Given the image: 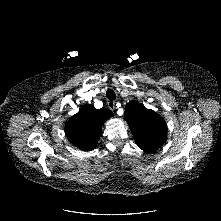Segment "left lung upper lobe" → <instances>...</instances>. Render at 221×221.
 <instances>
[{
  "mask_svg": "<svg viewBox=\"0 0 221 221\" xmlns=\"http://www.w3.org/2000/svg\"><path fill=\"white\" fill-rule=\"evenodd\" d=\"M125 119L136 144L145 152H155L167 138L165 121L153 110L138 102H130L125 108Z\"/></svg>",
  "mask_w": 221,
  "mask_h": 221,
  "instance_id": "1",
  "label": "left lung upper lobe"
}]
</instances>
